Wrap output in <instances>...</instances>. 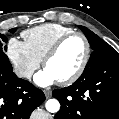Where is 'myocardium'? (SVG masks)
I'll list each match as a JSON object with an SVG mask.
<instances>
[{
	"mask_svg": "<svg viewBox=\"0 0 119 119\" xmlns=\"http://www.w3.org/2000/svg\"><path fill=\"white\" fill-rule=\"evenodd\" d=\"M73 37H80L82 38V40L84 41L85 44V55L84 58L81 62V64L79 65V67L77 68V70L71 74L70 76L61 79V80H57V82L61 85H69L72 84L73 82H75L85 71L87 64L90 60V56H91V44L88 40V38L81 32H77V31H73L69 34L64 35L63 37H61L50 49L49 51L46 53V55L43 58V66L46 67L47 63L57 55V53L60 51V49L62 48V46L71 38Z\"/></svg>",
	"mask_w": 119,
	"mask_h": 119,
	"instance_id": "obj_1",
	"label": "myocardium"
}]
</instances>
